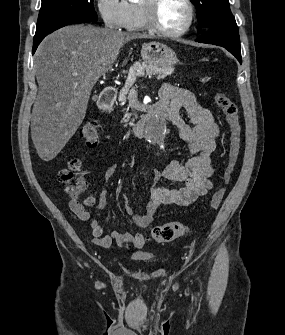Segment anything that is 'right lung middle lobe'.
<instances>
[{"mask_svg": "<svg viewBox=\"0 0 285 335\" xmlns=\"http://www.w3.org/2000/svg\"><path fill=\"white\" fill-rule=\"evenodd\" d=\"M64 18L97 21L93 0H42L37 29Z\"/></svg>", "mask_w": 285, "mask_h": 335, "instance_id": "right-lung-middle-lobe-1", "label": "right lung middle lobe"}]
</instances>
